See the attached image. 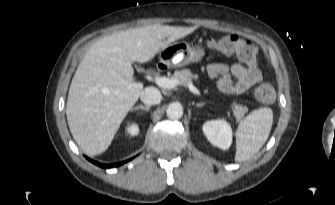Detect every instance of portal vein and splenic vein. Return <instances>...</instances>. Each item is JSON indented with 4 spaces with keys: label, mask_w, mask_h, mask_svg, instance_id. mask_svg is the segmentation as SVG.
Wrapping results in <instances>:
<instances>
[{
    "label": "portal vein and splenic vein",
    "mask_w": 335,
    "mask_h": 205,
    "mask_svg": "<svg viewBox=\"0 0 335 205\" xmlns=\"http://www.w3.org/2000/svg\"><path fill=\"white\" fill-rule=\"evenodd\" d=\"M154 81L158 86H160L162 88H165V89H172L179 84L177 79L168 78V77H165V76L155 77ZM187 86L192 93H194L198 96H201L200 91L192 84V82H189Z\"/></svg>",
    "instance_id": "18ae733b"
}]
</instances>
